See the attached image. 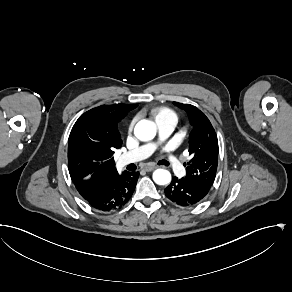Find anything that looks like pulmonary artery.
I'll return each instance as SVG.
<instances>
[{
    "instance_id": "pulmonary-artery-1",
    "label": "pulmonary artery",
    "mask_w": 292,
    "mask_h": 292,
    "mask_svg": "<svg viewBox=\"0 0 292 292\" xmlns=\"http://www.w3.org/2000/svg\"><path fill=\"white\" fill-rule=\"evenodd\" d=\"M177 122V117L169 116L168 114H161L157 120L159 126L158 135L153 139V141L140 148H136L131 153L120 156L118 163L125 164L129 158L141 159L143 156L149 157L162 146H164L161 149L162 157L173 169L180 170L183 167V162L172 152V149L168 146L171 143L170 133L176 127Z\"/></svg>"
}]
</instances>
